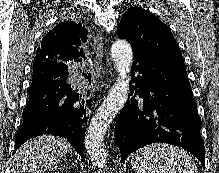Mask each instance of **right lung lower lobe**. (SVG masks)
<instances>
[{"label":"right lung lower lobe","instance_id":"98d812e1","mask_svg":"<svg viewBox=\"0 0 219 173\" xmlns=\"http://www.w3.org/2000/svg\"><path fill=\"white\" fill-rule=\"evenodd\" d=\"M67 61L33 65L29 101L23 111V124L15 135L16 149L30 138L50 133L68 139L84 159L83 140L92 100L88 99L89 91L80 93L68 83ZM82 75L91 84L90 74Z\"/></svg>","mask_w":219,"mask_h":173}]
</instances>
